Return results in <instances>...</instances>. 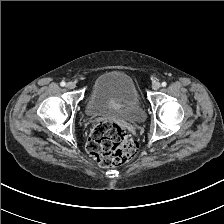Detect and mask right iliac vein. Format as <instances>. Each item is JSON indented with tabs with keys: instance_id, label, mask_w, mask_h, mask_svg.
<instances>
[{
	"instance_id": "right-iliac-vein-1",
	"label": "right iliac vein",
	"mask_w": 224,
	"mask_h": 224,
	"mask_svg": "<svg viewBox=\"0 0 224 224\" xmlns=\"http://www.w3.org/2000/svg\"><path fill=\"white\" fill-rule=\"evenodd\" d=\"M75 86H76L75 83L72 82V81H70V82H68V83L66 84V87H67L68 89H74Z\"/></svg>"
}]
</instances>
